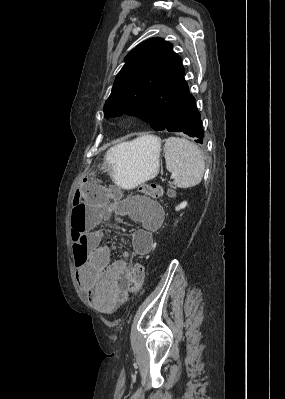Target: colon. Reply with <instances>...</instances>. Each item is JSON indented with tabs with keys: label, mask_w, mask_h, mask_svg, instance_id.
Listing matches in <instances>:
<instances>
[{
	"label": "colon",
	"mask_w": 285,
	"mask_h": 399,
	"mask_svg": "<svg viewBox=\"0 0 285 399\" xmlns=\"http://www.w3.org/2000/svg\"><path fill=\"white\" fill-rule=\"evenodd\" d=\"M78 189L86 192V193H94L96 197L101 196V190L99 189L98 182L94 179H87L79 184ZM138 192L144 196L151 197L153 199L161 198L164 195V188L162 185L149 183V184H142L138 188ZM123 191L113 186L108 189L107 195L111 199H121L123 197ZM172 194V193H170ZM74 218L78 219L79 214L78 210L76 209L74 212ZM132 281L133 286L137 289L141 288L144 282V270L141 263H136L132 270Z\"/></svg>",
	"instance_id": "1"
}]
</instances>
